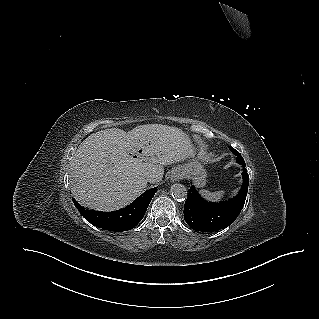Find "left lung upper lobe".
I'll return each mask as SVG.
<instances>
[{
    "label": "left lung upper lobe",
    "mask_w": 319,
    "mask_h": 319,
    "mask_svg": "<svg viewBox=\"0 0 319 319\" xmlns=\"http://www.w3.org/2000/svg\"><path fill=\"white\" fill-rule=\"evenodd\" d=\"M229 149H230V151H232V153L234 154V155H236L237 156V158H236V161L238 162V163H242V162H244V159L242 158V156L240 155V153L237 151V150H235L233 147H229Z\"/></svg>",
    "instance_id": "left-lung-upper-lobe-1"
}]
</instances>
